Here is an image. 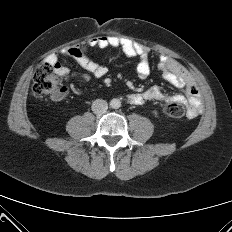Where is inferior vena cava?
<instances>
[{
  "label": "inferior vena cava",
  "instance_id": "obj_1",
  "mask_svg": "<svg viewBox=\"0 0 232 232\" xmlns=\"http://www.w3.org/2000/svg\"><path fill=\"white\" fill-rule=\"evenodd\" d=\"M92 111L97 114V115H102L104 113H106L107 109H108V104L105 100L102 99H96L93 103H92Z\"/></svg>",
  "mask_w": 232,
  "mask_h": 232
}]
</instances>
